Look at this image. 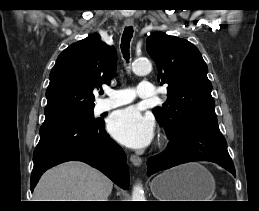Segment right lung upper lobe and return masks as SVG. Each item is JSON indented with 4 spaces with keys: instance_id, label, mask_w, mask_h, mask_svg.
I'll return each instance as SVG.
<instances>
[{
    "instance_id": "obj_1",
    "label": "right lung upper lobe",
    "mask_w": 259,
    "mask_h": 211,
    "mask_svg": "<svg viewBox=\"0 0 259 211\" xmlns=\"http://www.w3.org/2000/svg\"><path fill=\"white\" fill-rule=\"evenodd\" d=\"M117 66L114 47L91 34L66 48L50 72L44 124L92 111L93 90L109 84Z\"/></svg>"
}]
</instances>
